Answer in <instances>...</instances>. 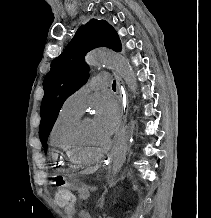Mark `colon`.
Segmentation results:
<instances>
[{"instance_id":"obj_1","label":"colon","mask_w":211,"mask_h":218,"mask_svg":"<svg viewBox=\"0 0 211 218\" xmlns=\"http://www.w3.org/2000/svg\"><path fill=\"white\" fill-rule=\"evenodd\" d=\"M55 201L61 207H72L75 203V197L68 187L59 185L55 191Z\"/></svg>"}]
</instances>
